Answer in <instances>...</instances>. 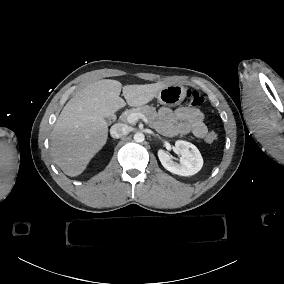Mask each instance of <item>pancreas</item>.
Here are the masks:
<instances>
[{
	"label": "pancreas",
	"mask_w": 284,
	"mask_h": 284,
	"mask_svg": "<svg viewBox=\"0 0 284 284\" xmlns=\"http://www.w3.org/2000/svg\"><path fill=\"white\" fill-rule=\"evenodd\" d=\"M132 113L142 114L145 117H147L148 121L150 122V127L151 128H154L156 120L158 119V114H157L156 109L152 108V107H150L148 105H144V106L136 107V108H134L132 110L127 111L126 113H124L121 116V120L125 121L126 117L128 115L132 114Z\"/></svg>",
	"instance_id": "1"
}]
</instances>
